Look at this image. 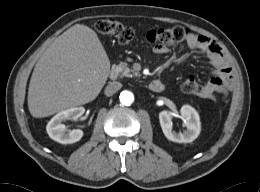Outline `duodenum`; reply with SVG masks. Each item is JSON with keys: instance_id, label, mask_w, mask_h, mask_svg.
<instances>
[{"instance_id": "1", "label": "duodenum", "mask_w": 260, "mask_h": 192, "mask_svg": "<svg viewBox=\"0 0 260 192\" xmlns=\"http://www.w3.org/2000/svg\"><path fill=\"white\" fill-rule=\"evenodd\" d=\"M109 77H110L111 80H115L116 79L117 72H116L115 69H112L110 71ZM164 87H165L164 83L162 81H160V80H153L149 84V89L152 92H161V91H163Z\"/></svg>"}]
</instances>
